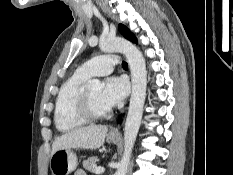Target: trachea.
Here are the masks:
<instances>
[{
    "label": "trachea",
    "mask_w": 233,
    "mask_h": 175,
    "mask_svg": "<svg viewBox=\"0 0 233 175\" xmlns=\"http://www.w3.org/2000/svg\"><path fill=\"white\" fill-rule=\"evenodd\" d=\"M122 67H123L124 69H128V64H127V62H122Z\"/></svg>",
    "instance_id": "1"
}]
</instances>
